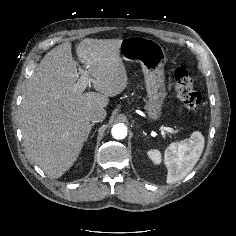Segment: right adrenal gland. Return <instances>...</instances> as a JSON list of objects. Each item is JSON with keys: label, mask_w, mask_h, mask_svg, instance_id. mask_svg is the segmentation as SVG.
Listing matches in <instances>:
<instances>
[{"label": "right adrenal gland", "mask_w": 236, "mask_h": 236, "mask_svg": "<svg viewBox=\"0 0 236 236\" xmlns=\"http://www.w3.org/2000/svg\"><path fill=\"white\" fill-rule=\"evenodd\" d=\"M94 126V123H92L91 125H90V127H89V131H88V133H87V136H86V140L85 141H87L88 140V137H89V133H90V131H91V128Z\"/></svg>", "instance_id": "2a0ac1e0"}]
</instances>
